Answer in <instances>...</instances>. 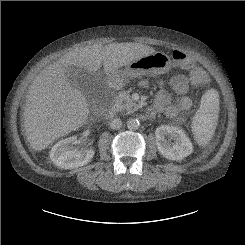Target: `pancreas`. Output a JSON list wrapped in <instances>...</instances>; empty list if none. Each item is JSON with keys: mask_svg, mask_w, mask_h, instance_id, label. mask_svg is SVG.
<instances>
[{"mask_svg": "<svg viewBox=\"0 0 245 245\" xmlns=\"http://www.w3.org/2000/svg\"><path fill=\"white\" fill-rule=\"evenodd\" d=\"M117 111L132 113L138 109V104L133 102L127 91H122L115 99Z\"/></svg>", "mask_w": 245, "mask_h": 245, "instance_id": "1", "label": "pancreas"}]
</instances>
